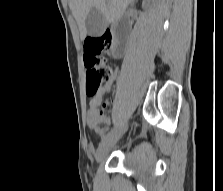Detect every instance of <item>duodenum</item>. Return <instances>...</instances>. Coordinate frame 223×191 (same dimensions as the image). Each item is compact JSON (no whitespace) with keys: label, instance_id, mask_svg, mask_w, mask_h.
<instances>
[{"label":"duodenum","instance_id":"1","mask_svg":"<svg viewBox=\"0 0 223 191\" xmlns=\"http://www.w3.org/2000/svg\"><path fill=\"white\" fill-rule=\"evenodd\" d=\"M116 32L119 38L122 40V42L119 44L115 52L116 54H119L123 52L125 48V44H126V39L129 34V26H128L127 21H125V19L120 21V23L116 26Z\"/></svg>","mask_w":223,"mask_h":191}]
</instances>
